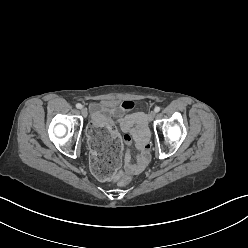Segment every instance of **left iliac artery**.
Masks as SVG:
<instances>
[{"mask_svg":"<svg viewBox=\"0 0 248 248\" xmlns=\"http://www.w3.org/2000/svg\"><path fill=\"white\" fill-rule=\"evenodd\" d=\"M154 111H155L156 113L159 112V111H160V107H159V106L155 107Z\"/></svg>","mask_w":248,"mask_h":248,"instance_id":"44dca946","label":"left iliac artery"}]
</instances>
